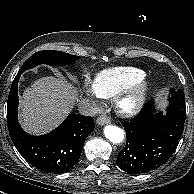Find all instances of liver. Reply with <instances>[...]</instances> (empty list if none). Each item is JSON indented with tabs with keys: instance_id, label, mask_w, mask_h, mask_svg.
Returning a JSON list of instances; mask_svg holds the SVG:
<instances>
[{
	"instance_id": "6515ba94",
	"label": "liver",
	"mask_w": 194,
	"mask_h": 194,
	"mask_svg": "<svg viewBox=\"0 0 194 194\" xmlns=\"http://www.w3.org/2000/svg\"><path fill=\"white\" fill-rule=\"evenodd\" d=\"M76 99L77 91L64 77H42L23 92L20 123L29 133L44 134L65 119Z\"/></svg>"
}]
</instances>
